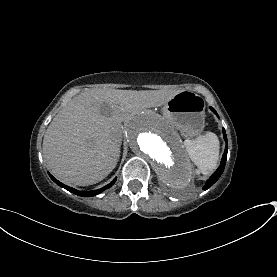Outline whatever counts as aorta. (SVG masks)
<instances>
[{"label":"aorta","instance_id":"obj_1","mask_svg":"<svg viewBox=\"0 0 277 277\" xmlns=\"http://www.w3.org/2000/svg\"><path fill=\"white\" fill-rule=\"evenodd\" d=\"M130 148L147 161L160 181L172 189H183L192 180L193 169L175 130L159 115L146 112L128 125Z\"/></svg>","mask_w":277,"mask_h":277}]
</instances>
